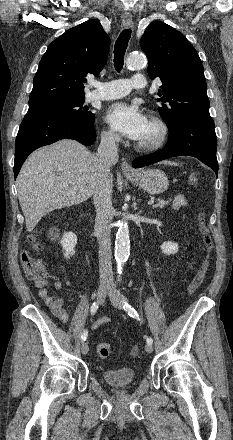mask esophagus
Instances as JSON below:
<instances>
[{
    "label": "esophagus",
    "mask_w": 233,
    "mask_h": 440,
    "mask_svg": "<svg viewBox=\"0 0 233 440\" xmlns=\"http://www.w3.org/2000/svg\"><path fill=\"white\" fill-rule=\"evenodd\" d=\"M122 26L124 28H132L133 27L132 17L131 16H124L122 18ZM121 170L125 174H134L135 173L134 169L131 167V165L126 160L122 161Z\"/></svg>",
    "instance_id": "34e87169"
}]
</instances>
